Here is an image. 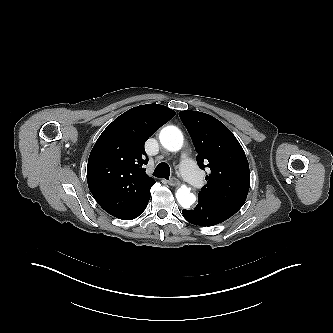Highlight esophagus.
<instances>
[{
  "instance_id": "34e87169",
  "label": "esophagus",
  "mask_w": 333,
  "mask_h": 333,
  "mask_svg": "<svg viewBox=\"0 0 333 333\" xmlns=\"http://www.w3.org/2000/svg\"><path fill=\"white\" fill-rule=\"evenodd\" d=\"M168 184L170 186H178L180 185V181L176 178H171L169 181H168Z\"/></svg>"
}]
</instances>
